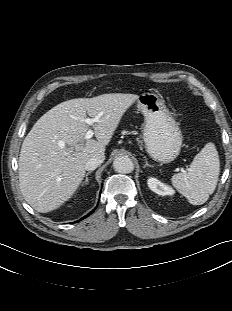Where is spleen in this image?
Returning a JSON list of instances; mask_svg holds the SVG:
<instances>
[{"mask_svg":"<svg viewBox=\"0 0 232 311\" xmlns=\"http://www.w3.org/2000/svg\"><path fill=\"white\" fill-rule=\"evenodd\" d=\"M220 173L218 152L213 143H207L194 157L187 171L172 176L173 186L193 205H202L217 185Z\"/></svg>","mask_w":232,"mask_h":311,"instance_id":"1","label":"spleen"}]
</instances>
